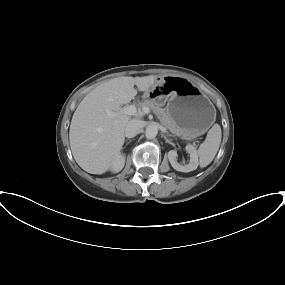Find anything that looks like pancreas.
I'll return each mask as SVG.
<instances>
[{"label": "pancreas", "mask_w": 285, "mask_h": 285, "mask_svg": "<svg viewBox=\"0 0 285 285\" xmlns=\"http://www.w3.org/2000/svg\"><path fill=\"white\" fill-rule=\"evenodd\" d=\"M140 106L142 108L147 107L153 111V113L157 116V118L160 120V122L167 127L173 134L183 138L188 139L187 134L177 127L175 123L172 121L168 113L165 109L161 108L159 104L145 100L144 102L140 103Z\"/></svg>", "instance_id": "obj_1"}]
</instances>
